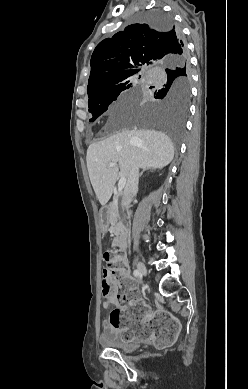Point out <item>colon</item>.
<instances>
[{"label":"colon","instance_id":"obj_1","mask_svg":"<svg viewBox=\"0 0 248 389\" xmlns=\"http://www.w3.org/2000/svg\"><path fill=\"white\" fill-rule=\"evenodd\" d=\"M104 260L106 266L101 290L105 297L118 301L116 309L110 314L109 323L121 331L124 343L142 344L144 340L154 337L156 350H165L168 344H174L180 323L172 319V312L153 311L150 315V307L142 301L136 279L126 273L120 252H107ZM145 318H149V322H144Z\"/></svg>","mask_w":248,"mask_h":389}]
</instances>
